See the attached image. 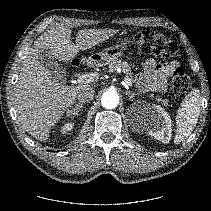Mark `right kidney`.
Segmentation results:
<instances>
[{
	"label": "right kidney",
	"instance_id": "obj_1",
	"mask_svg": "<svg viewBox=\"0 0 211 211\" xmlns=\"http://www.w3.org/2000/svg\"><path fill=\"white\" fill-rule=\"evenodd\" d=\"M74 127V123L72 122H67L65 123L61 128H60V132L61 134H65L67 133L68 131L72 130Z\"/></svg>",
	"mask_w": 211,
	"mask_h": 211
}]
</instances>
